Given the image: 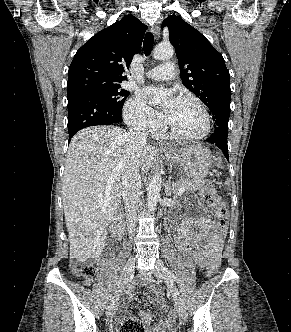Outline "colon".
Wrapping results in <instances>:
<instances>
[{
    "mask_svg": "<svg viewBox=\"0 0 291 332\" xmlns=\"http://www.w3.org/2000/svg\"><path fill=\"white\" fill-rule=\"evenodd\" d=\"M202 195L206 202L213 208L216 213L217 223L220 228L225 229L228 225V210L225 203L216 192L215 185L212 182H207L203 189ZM220 267L219 258H211L207 263V271L209 274H214ZM77 273L84 277L87 283H90L94 274L95 268L92 264L74 265ZM118 332H143V325L140 321L134 318H126L118 325Z\"/></svg>",
    "mask_w": 291,
    "mask_h": 332,
    "instance_id": "1",
    "label": "colon"
}]
</instances>
